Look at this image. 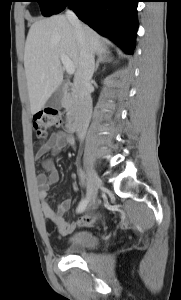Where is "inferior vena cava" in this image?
Segmentation results:
<instances>
[{
  "instance_id": "602c4592",
  "label": "inferior vena cava",
  "mask_w": 181,
  "mask_h": 300,
  "mask_svg": "<svg viewBox=\"0 0 181 300\" xmlns=\"http://www.w3.org/2000/svg\"><path fill=\"white\" fill-rule=\"evenodd\" d=\"M66 18L74 29L75 38L79 47L80 63L74 79L75 88L78 94L76 132L78 138L83 140L92 116V99L90 93L92 89L91 79L95 68L94 54L87 43L82 25L76 14L71 10H67Z\"/></svg>"
}]
</instances>
